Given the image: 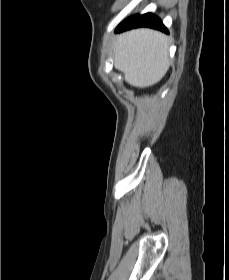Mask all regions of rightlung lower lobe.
I'll return each instance as SVG.
<instances>
[{"label": "right lung lower lobe", "mask_w": 229, "mask_h": 280, "mask_svg": "<svg viewBox=\"0 0 229 280\" xmlns=\"http://www.w3.org/2000/svg\"><path fill=\"white\" fill-rule=\"evenodd\" d=\"M137 27H149L168 32L166 27L162 24V21L152 13L136 15L128 18L117 27L116 32H122Z\"/></svg>", "instance_id": "obj_1"}]
</instances>
